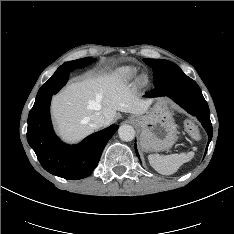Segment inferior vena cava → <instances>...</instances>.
Instances as JSON below:
<instances>
[{
  "label": "inferior vena cava",
  "instance_id": "obj_1",
  "mask_svg": "<svg viewBox=\"0 0 234 234\" xmlns=\"http://www.w3.org/2000/svg\"><path fill=\"white\" fill-rule=\"evenodd\" d=\"M90 126L93 129H99L105 124V117L100 112H95L89 118Z\"/></svg>",
  "mask_w": 234,
  "mask_h": 234
}]
</instances>
